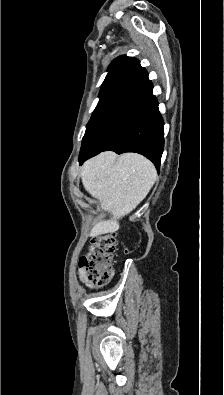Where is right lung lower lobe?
<instances>
[{
	"mask_svg": "<svg viewBox=\"0 0 224 395\" xmlns=\"http://www.w3.org/2000/svg\"><path fill=\"white\" fill-rule=\"evenodd\" d=\"M147 71L132 58L96 107L83 137L79 161L106 150L137 152L157 170L164 147L163 119Z\"/></svg>",
	"mask_w": 224,
	"mask_h": 395,
	"instance_id": "right-lung-lower-lobe-1",
	"label": "right lung lower lobe"
}]
</instances>
